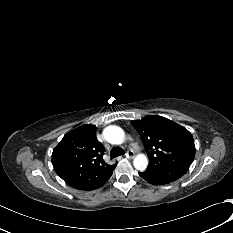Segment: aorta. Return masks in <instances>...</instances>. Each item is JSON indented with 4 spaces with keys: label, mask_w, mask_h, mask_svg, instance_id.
<instances>
[{
    "label": "aorta",
    "mask_w": 233,
    "mask_h": 233,
    "mask_svg": "<svg viewBox=\"0 0 233 233\" xmlns=\"http://www.w3.org/2000/svg\"><path fill=\"white\" fill-rule=\"evenodd\" d=\"M104 138L111 144L120 145L125 140V133L122 128L118 126H108L103 131ZM134 167L139 171L146 170L148 166V158L145 154H138L133 160Z\"/></svg>",
    "instance_id": "762f6f07"
}]
</instances>
